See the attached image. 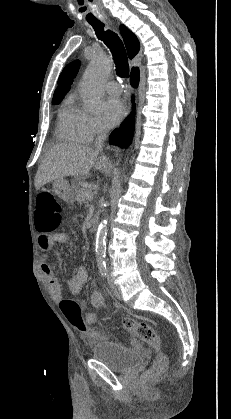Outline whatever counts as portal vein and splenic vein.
<instances>
[{
  "instance_id": "1",
  "label": "portal vein and splenic vein",
  "mask_w": 231,
  "mask_h": 419,
  "mask_svg": "<svg viewBox=\"0 0 231 419\" xmlns=\"http://www.w3.org/2000/svg\"><path fill=\"white\" fill-rule=\"evenodd\" d=\"M86 200H91L93 198V194L91 192H88L85 194Z\"/></svg>"
}]
</instances>
